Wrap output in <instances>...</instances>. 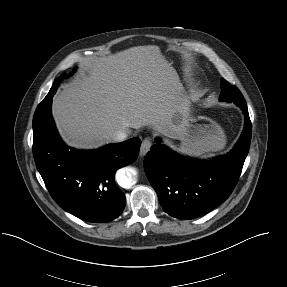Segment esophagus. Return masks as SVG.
<instances>
[{
    "label": "esophagus",
    "mask_w": 287,
    "mask_h": 287,
    "mask_svg": "<svg viewBox=\"0 0 287 287\" xmlns=\"http://www.w3.org/2000/svg\"><path fill=\"white\" fill-rule=\"evenodd\" d=\"M152 146V140L149 137H146L141 144L140 147V155L141 156H145L147 154V152L150 150Z\"/></svg>",
    "instance_id": "1"
}]
</instances>
